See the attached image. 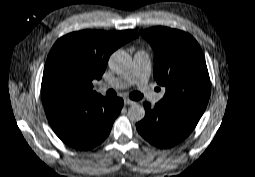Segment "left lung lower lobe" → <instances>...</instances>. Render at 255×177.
I'll return each mask as SVG.
<instances>
[{
    "label": "left lung lower lobe",
    "instance_id": "1",
    "mask_svg": "<svg viewBox=\"0 0 255 177\" xmlns=\"http://www.w3.org/2000/svg\"><path fill=\"white\" fill-rule=\"evenodd\" d=\"M145 118L136 127L151 144L169 148L186 138L196 126L205 108L162 99L154 108L144 103Z\"/></svg>",
    "mask_w": 255,
    "mask_h": 177
}]
</instances>
